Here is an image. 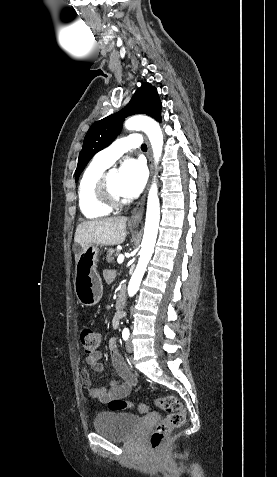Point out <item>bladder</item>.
I'll use <instances>...</instances> for the list:
<instances>
[{"mask_svg": "<svg viewBox=\"0 0 277 477\" xmlns=\"http://www.w3.org/2000/svg\"><path fill=\"white\" fill-rule=\"evenodd\" d=\"M141 424V418L128 412H104L94 420L96 433L115 441H124L133 437Z\"/></svg>", "mask_w": 277, "mask_h": 477, "instance_id": "obj_1", "label": "bladder"}]
</instances>
